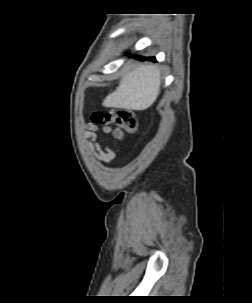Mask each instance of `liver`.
<instances>
[{"instance_id": "1", "label": "liver", "mask_w": 252, "mask_h": 303, "mask_svg": "<svg viewBox=\"0 0 252 303\" xmlns=\"http://www.w3.org/2000/svg\"><path fill=\"white\" fill-rule=\"evenodd\" d=\"M160 78L157 65H141L122 77L120 85L104 99L103 105L127 110H146L160 93Z\"/></svg>"}]
</instances>
